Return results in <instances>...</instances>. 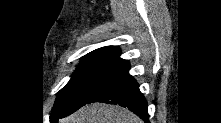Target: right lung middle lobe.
I'll return each mask as SVG.
<instances>
[{
	"instance_id": "1",
	"label": "right lung middle lobe",
	"mask_w": 221,
	"mask_h": 123,
	"mask_svg": "<svg viewBox=\"0 0 221 123\" xmlns=\"http://www.w3.org/2000/svg\"><path fill=\"white\" fill-rule=\"evenodd\" d=\"M127 63L111 52L92 51L83 56L70 81L59 91L52 112L72 114L88 102L105 79Z\"/></svg>"
}]
</instances>
